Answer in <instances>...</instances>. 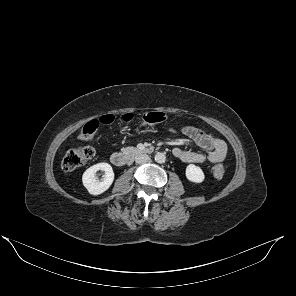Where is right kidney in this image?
<instances>
[{
	"instance_id": "right-kidney-1",
	"label": "right kidney",
	"mask_w": 296,
	"mask_h": 296,
	"mask_svg": "<svg viewBox=\"0 0 296 296\" xmlns=\"http://www.w3.org/2000/svg\"><path fill=\"white\" fill-rule=\"evenodd\" d=\"M105 171L102 181L97 180L95 173ZM114 181V172L110 164L98 163L88 168L82 176V182L91 195H99L109 189Z\"/></svg>"
}]
</instances>
